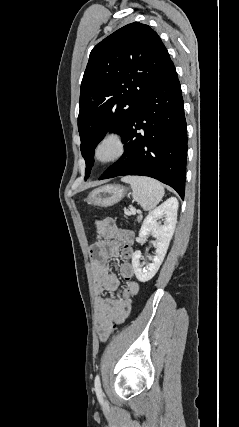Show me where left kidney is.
Masks as SVG:
<instances>
[{"label":"left kidney","mask_w":239,"mask_h":427,"mask_svg":"<svg viewBox=\"0 0 239 427\" xmlns=\"http://www.w3.org/2000/svg\"><path fill=\"white\" fill-rule=\"evenodd\" d=\"M177 210L178 200L172 197L152 210L144 219L139 232V237L143 239L146 238L147 235L151 234L156 239V251L152 262L146 267H143L140 263L141 252L138 250L133 253L132 266L136 278L140 282H147L152 279L160 268L175 230L177 223ZM163 217L165 218V221L162 225L158 220Z\"/></svg>","instance_id":"left-kidney-1"}]
</instances>
